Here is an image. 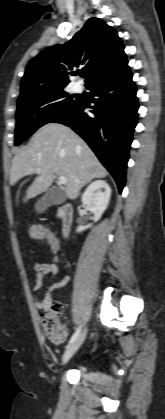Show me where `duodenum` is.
<instances>
[{
	"label": "duodenum",
	"mask_w": 165,
	"mask_h": 419,
	"mask_svg": "<svg viewBox=\"0 0 165 419\" xmlns=\"http://www.w3.org/2000/svg\"><path fill=\"white\" fill-rule=\"evenodd\" d=\"M61 233L67 237L73 224V206L71 203H64L59 209Z\"/></svg>",
	"instance_id": "410a0bca"
}]
</instances>
